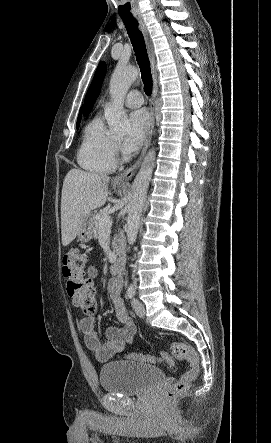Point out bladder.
Segmentation results:
<instances>
[{
	"label": "bladder",
	"mask_w": 271,
	"mask_h": 443,
	"mask_svg": "<svg viewBox=\"0 0 271 443\" xmlns=\"http://www.w3.org/2000/svg\"><path fill=\"white\" fill-rule=\"evenodd\" d=\"M158 367L130 360L105 363L99 373L101 387L109 393L132 395L142 393L162 381Z\"/></svg>",
	"instance_id": "obj_1"
}]
</instances>
